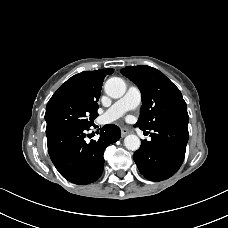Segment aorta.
Instances as JSON below:
<instances>
[{
  "instance_id": "762f6f07",
  "label": "aorta",
  "mask_w": 228,
  "mask_h": 228,
  "mask_svg": "<svg viewBox=\"0 0 228 228\" xmlns=\"http://www.w3.org/2000/svg\"><path fill=\"white\" fill-rule=\"evenodd\" d=\"M105 93L111 98H120L126 92V84L123 79L119 77L109 78L104 86ZM140 139L134 134L125 137L124 145L128 150L136 151L140 147Z\"/></svg>"
}]
</instances>
